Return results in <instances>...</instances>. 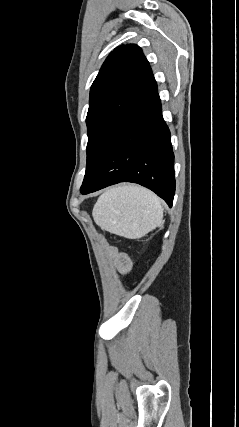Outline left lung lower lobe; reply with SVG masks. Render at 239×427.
Wrapping results in <instances>:
<instances>
[{
  "label": "left lung lower lobe",
  "mask_w": 239,
  "mask_h": 427,
  "mask_svg": "<svg viewBox=\"0 0 239 427\" xmlns=\"http://www.w3.org/2000/svg\"><path fill=\"white\" fill-rule=\"evenodd\" d=\"M120 182L145 186L172 206L174 154L158 92L117 131L81 193Z\"/></svg>",
  "instance_id": "left-lung-lower-lobe-1"
}]
</instances>
